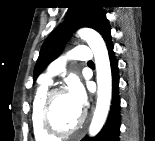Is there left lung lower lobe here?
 <instances>
[{"instance_id": "obj_1", "label": "left lung lower lobe", "mask_w": 155, "mask_h": 141, "mask_svg": "<svg viewBox=\"0 0 155 141\" xmlns=\"http://www.w3.org/2000/svg\"><path fill=\"white\" fill-rule=\"evenodd\" d=\"M107 45V50L110 59L111 72H112V102L110 112L107 121L94 138H84L83 141H119V131L121 124L120 117V98H119V68L118 61L115 57V52L113 51V43L111 40V35L105 40Z\"/></svg>"}]
</instances>
